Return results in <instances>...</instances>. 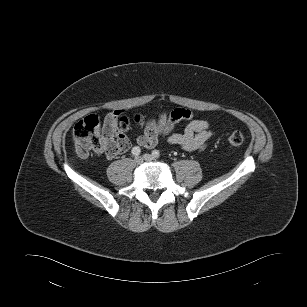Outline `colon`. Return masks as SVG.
Returning <instances> with one entry per match:
<instances>
[{
    "mask_svg": "<svg viewBox=\"0 0 307 307\" xmlns=\"http://www.w3.org/2000/svg\"><path fill=\"white\" fill-rule=\"evenodd\" d=\"M112 119L118 128L125 132L129 129L131 121L124 115H114ZM133 122L137 125H143L144 118L136 115ZM106 118L102 124L101 119L97 115H90L77 122L72 131L73 141L76 152L81 157H86L91 152H103L108 150V144L105 137ZM244 141L241 132H233L226 140L225 144L229 147H238Z\"/></svg>",
    "mask_w": 307,
    "mask_h": 307,
    "instance_id": "1",
    "label": "colon"
}]
</instances>
